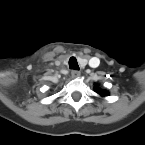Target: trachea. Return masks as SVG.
Returning a JSON list of instances; mask_svg holds the SVG:
<instances>
[{
	"label": "trachea",
	"mask_w": 145,
	"mask_h": 145,
	"mask_svg": "<svg viewBox=\"0 0 145 145\" xmlns=\"http://www.w3.org/2000/svg\"><path fill=\"white\" fill-rule=\"evenodd\" d=\"M69 68L73 70H79V65L75 57L69 59Z\"/></svg>",
	"instance_id": "obj_1"
}]
</instances>
